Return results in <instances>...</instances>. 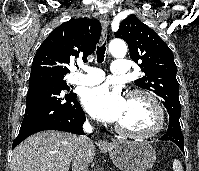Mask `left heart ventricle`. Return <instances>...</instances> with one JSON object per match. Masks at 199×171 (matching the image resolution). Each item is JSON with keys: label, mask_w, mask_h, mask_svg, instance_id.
Instances as JSON below:
<instances>
[{"label": "left heart ventricle", "mask_w": 199, "mask_h": 171, "mask_svg": "<svg viewBox=\"0 0 199 171\" xmlns=\"http://www.w3.org/2000/svg\"><path fill=\"white\" fill-rule=\"evenodd\" d=\"M117 124L131 131H144L151 128L154 125L151 105L143 97L127 99L124 113Z\"/></svg>", "instance_id": "1"}]
</instances>
